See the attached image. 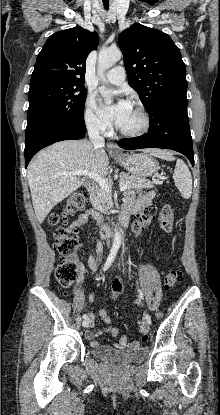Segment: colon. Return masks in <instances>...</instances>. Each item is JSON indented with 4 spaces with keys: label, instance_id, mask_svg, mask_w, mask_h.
I'll use <instances>...</instances> for the list:
<instances>
[{
    "label": "colon",
    "instance_id": "obj_1",
    "mask_svg": "<svg viewBox=\"0 0 220 415\" xmlns=\"http://www.w3.org/2000/svg\"><path fill=\"white\" fill-rule=\"evenodd\" d=\"M87 200L88 197L85 192H74L69 196L66 203L59 211L51 213L48 217V223L52 227H56L54 232V246L60 258L55 275L60 287L64 289L72 286L78 277L80 269L78 252L81 244L75 233L62 228L61 226L66 224L69 218L80 212L85 207ZM155 213L156 208L153 205L146 206L142 211L144 217H154ZM159 222L164 231L169 232L173 229L175 215L171 206L165 205L162 208L159 213ZM177 280V272H168L164 277L165 288H172ZM119 295L120 293H112V299L117 300ZM145 338L147 339L148 335H145Z\"/></svg>",
    "mask_w": 220,
    "mask_h": 415
}]
</instances>
